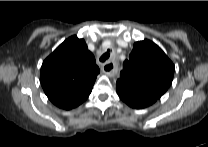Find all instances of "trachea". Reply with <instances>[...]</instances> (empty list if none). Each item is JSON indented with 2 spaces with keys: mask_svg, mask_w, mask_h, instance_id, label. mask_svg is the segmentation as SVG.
Wrapping results in <instances>:
<instances>
[{
  "mask_svg": "<svg viewBox=\"0 0 208 147\" xmlns=\"http://www.w3.org/2000/svg\"><path fill=\"white\" fill-rule=\"evenodd\" d=\"M109 57H110V53H109V50H108L106 53H104V54L100 57V61H101V62H105L106 60L109 59Z\"/></svg>",
  "mask_w": 208,
  "mask_h": 147,
  "instance_id": "obj_1",
  "label": "trachea"
}]
</instances>
